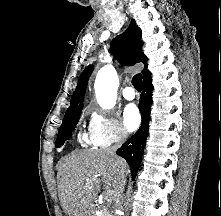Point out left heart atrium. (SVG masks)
<instances>
[{"label":"left heart atrium","mask_w":221,"mask_h":216,"mask_svg":"<svg viewBox=\"0 0 221 216\" xmlns=\"http://www.w3.org/2000/svg\"><path fill=\"white\" fill-rule=\"evenodd\" d=\"M124 124L130 131L138 128L141 122V117L138 108L134 104H129L123 111Z\"/></svg>","instance_id":"1"}]
</instances>
